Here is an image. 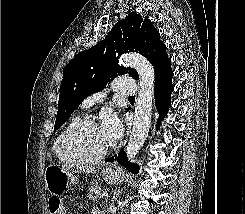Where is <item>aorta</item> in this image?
Instances as JSON below:
<instances>
[{"mask_svg": "<svg viewBox=\"0 0 245 214\" xmlns=\"http://www.w3.org/2000/svg\"><path fill=\"white\" fill-rule=\"evenodd\" d=\"M120 64L133 66L139 75V93L132 131L126 148L127 157L134 160L145 143L151 125L155 73L149 61L137 53L124 54Z\"/></svg>", "mask_w": 245, "mask_h": 214, "instance_id": "obj_1", "label": "aorta"}]
</instances>
